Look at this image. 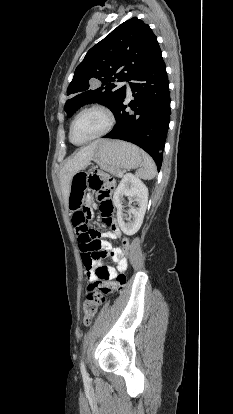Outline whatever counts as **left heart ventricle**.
Listing matches in <instances>:
<instances>
[{"label": "left heart ventricle", "instance_id": "1", "mask_svg": "<svg viewBox=\"0 0 233 414\" xmlns=\"http://www.w3.org/2000/svg\"><path fill=\"white\" fill-rule=\"evenodd\" d=\"M105 123L104 116L99 112H86L76 121L72 131V139L75 142L84 141L101 131Z\"/></svg>", "mask_w": 233, "mask_h": 414}]
</instances>
